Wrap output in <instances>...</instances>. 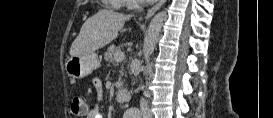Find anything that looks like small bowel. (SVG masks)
<instances>
[{"instance_id": "obj_1", "label": "small bowel", "mask_w": 273, "mask_h": 118, "mask_svg": "<svg viewBox=\"0 0 273 118\" xmlns=\"http://www.w3.org/2000/svg\"><path fill=\"white\" fill-rule=\"evenodd\" d=\"M94 89L98 95V98L100 99L102 97V85L101 82L98 79H95L93 82ZM87 118H102V112L100 109L99 104H94L91 106L87 113Z\"/></svg>"}]
</instances>
